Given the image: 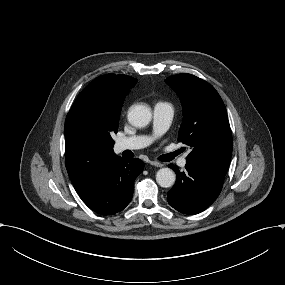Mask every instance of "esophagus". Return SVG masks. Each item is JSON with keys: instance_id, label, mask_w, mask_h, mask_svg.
Wrapping results in <instances>:
<instances>
[{"instance_id": "34e87169", "label": "esophagus", "mask_w": 285, "mask_h": 285, "mask_svg": "<svg viewBox=\"0 0 285 285\" xmlns=\"http://www.w3.org/2000/svg\"><path fill=\"white\" fill-rule=\"evenodd\" d=\"M150 165L155 166V167H162L163 165L160 162L157 161H150Z\"/></svg>"}]
</instances>
